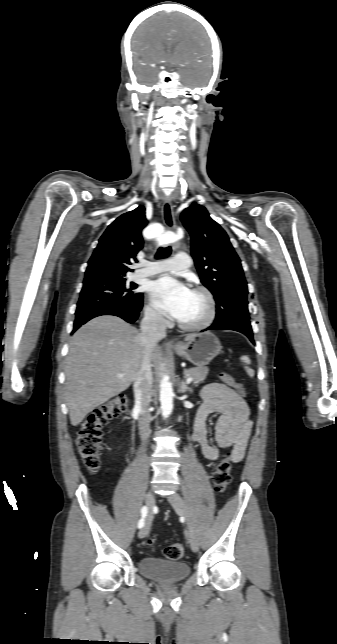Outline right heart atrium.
<instances>
[{
	"label": "right heart atrium",
	"instance_id": "1",
	"mask_svg": "<svg viewBox=\"0 0 337 644\" xmlns=\"http://www.w3.org/2000/svg\"><path fill=\"white\" fill-rule=\"evenodd\" d=\"M146 319L153 324H162L164 318L162 314L151 304L145 309Z\"/></svg>",
	"mask_w": 337,
	"mask_h": 644
}]
</instances>
